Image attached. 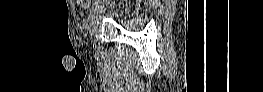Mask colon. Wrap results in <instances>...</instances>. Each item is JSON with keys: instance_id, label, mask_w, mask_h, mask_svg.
Here are the masks:
<instances>
[{"instance_id": "colon-1", "label": "colon", "mask_w": 263, "mask_h": 92, "mask_svg": "<svg viewBox=\"0 0 263 92\" xmlns=\"http://www.w3.org/2000/svg\"><path fill=\"white\" fill-rule=\"evenodd\" d=\"M77 2H80L84 7H87L92 1H90V0H80V1H77Z\"/></svg>"}]
</instances>
